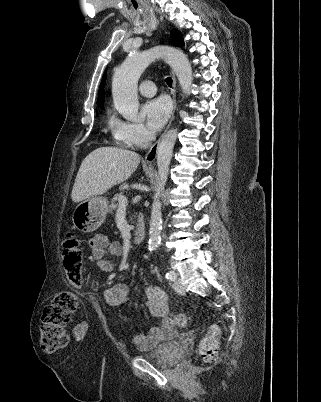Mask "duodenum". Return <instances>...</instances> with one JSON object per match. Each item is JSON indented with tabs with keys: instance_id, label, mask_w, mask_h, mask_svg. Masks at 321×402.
<instances>
[{
	"instance_id": "obj_1",
	"label": "duodenum",
	"mask_w": 321,
	"mask_h": 402,
	"mask_svg": "<svg viewBox=\"0 0 321 402\" xmlns=\"http://www.w3.org/2000/svg\"><path fill=\"white\" fill-rule=\"evenodd\" d=\"M146 236V223L142 216H138L137 227L134 232L133 240L136 244H141Z\"/></svg>"
}]
</instances>
